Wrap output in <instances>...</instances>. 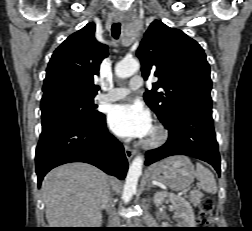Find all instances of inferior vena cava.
Masks as SVG:
<instances>
[{"label":"inferior vena cava","instance_id":"602c4592","mask_svg":"<svg viewBox=\"0 0 252 231\" xmlns=\"http://www.w3.org/2000/svg\"><path fill=\"white\" fill-rule=\"evenodd\" d=\"M101 203L106 207L107 213L109 214V225L111 227H117L120 224V220L115 212L113 198L108 189L103 193Z\"/></svg>","mask_w":252,"mask_h":231}]
</instances>
